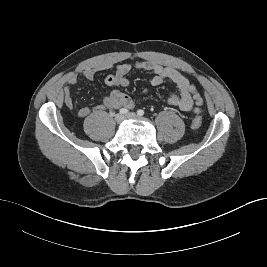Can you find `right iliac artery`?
<instances>
[{
  "label": "right iliac artery",
  "mask_w": 267,
  "mask_h": 267,
  "mask_svg": "<svg viewBox=\"0 0 267 267\" xmlns=\"http://www.w3.org/2000/svg\"><path fill=\"white\" fill-rule=\"evenodd\" d=\"M119 113H121V114H127L128 113V109L122 108V109L119 110Z\"/></svg>",
  "instance_id": "right-iliac-artery-1"
}]
</instances>
